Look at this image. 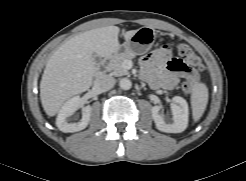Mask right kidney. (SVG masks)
Returning a JSON list of instances; mask_svg holds the SVG:
<instances>
[{
	"mask_svg": "<svg viewBox=\"0 0 246 181\" xmlns=\"http://www.w3.org/2000/svg\"><path fill=\"white\" fill-rule=\"evenodd\" d=\"M80 107V97L75 96L69 99L61 107L56 118V125L62 132H77L85 129L90 121L92 107L87 105L82 109V119L79 122L68 123L67 118L71 116Z\"/></svg>",
	"mask_w": 246,
	"mask_h": 181,
	"instance_id": "ca27d5eb",
	"label": "right kidney"
}]
</instances>
